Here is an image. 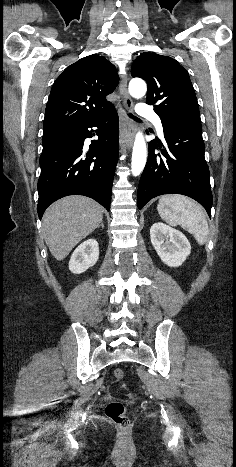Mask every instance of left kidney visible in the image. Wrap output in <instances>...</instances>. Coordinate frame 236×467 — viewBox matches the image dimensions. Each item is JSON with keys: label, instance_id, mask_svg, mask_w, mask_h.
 I'll return each mask as SVG.
<instances>
[{"label": "left kidney", "instance_id": "1", "mask_svg": "<svg viewBox=\"0 0 236 467\" xmlns=\"http://www.w3.org/2000/svg\"><path fill=\"white\" fill-rule=\"evenodd\" d=\"M150 238L157 254L169 267L181 266L191 252L185 235L164 223L157 222L151 226Z\"/></svg>", "mask_w": 236, "mask_h": 467}]
</instances>
